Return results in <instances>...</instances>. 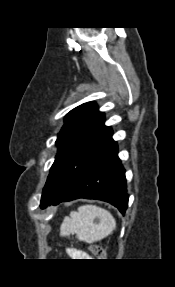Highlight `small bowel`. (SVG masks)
Returning a JSON list of instances; mask_svg holds the SVG:
<instances>
[{"instance_id": "c3829d8e", "label": "small bowel", "mask_w": 175, "mask_h": 287, "mask_svg": "<svg viewBox=\"0 0 175 287\" xmlns=\"http://www.w3.org/2000/svg\"><path fill=\"white\" fill-rule=\"evenodd\" d=\"M69 252L75 255H82L79 251H77L76 249H69Z\"/></svg>"}]
</instances>
